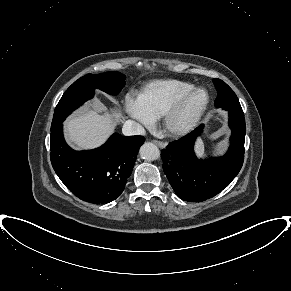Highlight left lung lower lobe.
I'll list each match as a JSON object with an SVG mask.
<instances>
[{"mask_svg": "<svg viewBox=\"0 0 291 291\" xmlns=\"http://www.w3.org/2000/svg\"><path fill=\"white\" fill-rule=\"evenodd\" d=\"M203 125L162 150L163 170L176 195L184 201L200 202L226 188L239 173L244 160L246 133L243 112L229 111L232 130L226 155L206 160L194 153V142Z\"/></svg>", "mask_w": 291, "mask_h": 291, "instance_id": "0a47b994", "label": "left lung lower lobe"}]
</instances>
